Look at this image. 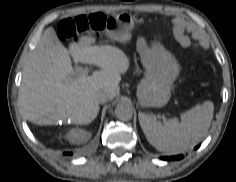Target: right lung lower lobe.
<instances>
[{
    "label": "right lung lower lobe",
    "instance_id": "right-lung-lower-lobe-1",
    "mask_svg": "<svg viewBox=\"0 0 236 182\" xmlns=\"http://www.w3.org/2000/svg\"><path fill=\"white\" fill-rule=\"evenodd\" d=\"M65 154H68V155H70V154H72V153H65Z\"/></svg>",
    "mask_w": 236,
    "mask_h": 182
}]
</instances>
